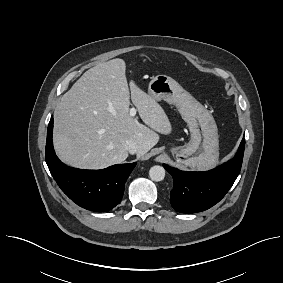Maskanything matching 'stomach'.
I'll return each mask as SVG.
<instances>
[{
	"instance_id": "obj_1",
	"label": "stomach",
	"mask_w": 283,
	"mask_h": 283,
	"mask_svg": "<svg viewBox=\"0 0 283 283\" xmlns=\"http://www.w3.org/2000/svg\"><path fill=\"white\" fill-rule=\"evenodd\" d=\"M148 94L177 107L187 123L191 139L184 146L171 148L175 160L196 170L215 165L219 158V136L212 114L190 93L167 75H157L148 85Z\"/></svg>"
}]
</instances>
